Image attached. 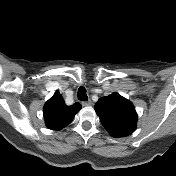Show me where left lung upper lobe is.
Instances as JSON below:
<instances>
[{"instance_id": "obj_1", "label": "left lung upper lobe", "mask_w": 176, "mask_h": 176, "mask_svg": "<svg viewBox=\"0 0 176 176\" xmlns=\"http://www.w3.org/2000/svg\"><path fill=\"white\" fill-rule=\"evenodd\" d=\"M95 111L103 127L112 137H125L136 129L135 108L129 100L118 93L100 98L95 104Z\"/></svg>"}]
</instances>
